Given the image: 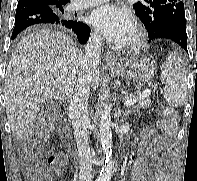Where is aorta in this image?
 Listing matches in <instances>:
<instances>
[{
  "label": "aorta",
  "mask_w": 197,
  "mask_h": 181,
  "mask_svg": "<svg viewBox=\"0 0 197 181\" xmlns=\"http://www.w3.org/2000/svg\"><path fill=\"white\" fill-rule=\"evenodd\" d=\"M107 95L103 96V99H107ZM100 140L103 149V153L106 157L105 163L101 169L100 175L97 181H110L113 173L112 162V132H111V115L110 106L107 102L103 103V110L99 122Z\"/></svg>",
  "instance_id": "aorta-1"
}]
</instances>
